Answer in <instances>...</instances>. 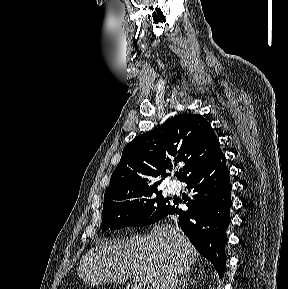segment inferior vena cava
Returning <instances> with one entry per match:
<instances>
[{"mask_svg": "<svg viewBox=\"0 0 288 289\" xmlns=\"http://www.w3.org/2000/svg\"><path fill=\"white\" fill-rule=\"evenodd\" d=\"M178 283V273L171 269L165 273L160 289H176Z\"/></svg>", "mask_w": 288, "mask_h": 289, "instance_id": "602c4592", "label": "inferior vena cava"}]
</instances>
